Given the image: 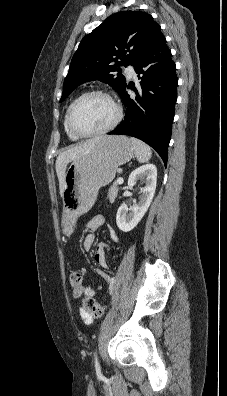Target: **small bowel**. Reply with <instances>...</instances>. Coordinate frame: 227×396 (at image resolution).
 <instances>
[{"mask_svg": "<svg viewBox=\"0 0 227 396\" xmlns=\"http://www.w3.org/2000/svg\"><path fill=\"white\" fill-rule=\"evenodd\" d=\"M105 224V219L102 215H96L93 217L88 223L86 224V229H87V234L84 237L83 240V247L85 250H90L95 242V236H94V231H96L98 228L102 227ZM110 238L113 242L118 243L119 242V236L116 233V231L112 228L109 230ZM107 248V245L104 243L98 244L95 255H94V260L95 263L100 266L101 268H106L107 267V262L105 259V249ZM94 276L96 279L104 282L105 284L108 285L109 289H112V280L111 277L105 273L102 270H96L94 272ZM81 293L86 296V297H92L95 295V291L91 285L82 287ZM80 316L83 319V321L86 324H90L93 321L94 316L86 311L84 308H80L79 310Z\"/></svg>", "mask_w": 227, "mask_h": 396, "instance_id": "obj_1", "label": "small bowel"}]
</instances>
